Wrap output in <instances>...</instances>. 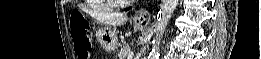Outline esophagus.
Returning <instances> with one entry per match:
<instances>
[{
    "label": "esophagus",
    "mask_w": 261,
    "mask_h": 59,
    "mask_svg": "<svg viewBox=\"0 0 261 59\" xmlns=\"http://www.w3.org/2000/svg\"><path fill=\"white\" fill-rule=\"evenodd\" d=\"M151 16L147 7L140 8L134 14V22L141 26H147L150 22Z\"/></svg>",
    "instance_id": "1"
}]
</instances>
